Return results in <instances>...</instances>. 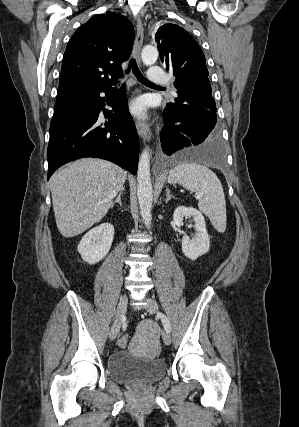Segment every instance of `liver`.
Returning <instances> with one entry per match:
<instances>
[{"mask_svg":"<svg viewBox=\"0 0 299 427\" xmlns=\"http://www.w3.org/2000/svg\"><path fill=\"white\" fill-rule=\"evenodd\" d=\"M126 177L116 164L97 158H82L55 172L50 189L59 232L74 237L99 222Z\"/></svg>","mask_w":299,"mask_h":427,"instance_id":"liver-1","label":"liver"}]
</instances>
